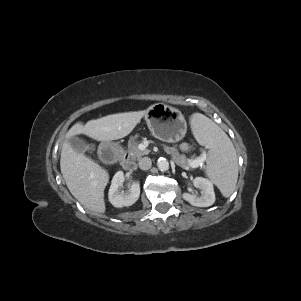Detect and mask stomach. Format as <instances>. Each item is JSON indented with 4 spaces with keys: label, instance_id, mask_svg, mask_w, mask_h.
I'll use <instances>...</instances> for the list:
<instances>
[{
    "label": "stomach",
    "instance_id": "obj_1",
    "mask_svg": "<svg viewBox=\"0 0 301 301\" xmlns=\"http://www.w3.org/2000/svg\"><path fill=\"white\" fill-rule=\"evenodd\" d=\"M145 120L152 135L165 142H178L184 138L187 131L183 114L163 103L149 107Z\"/></svg>",
    "mask_w": 301,
    "mask_h": 301
}]
</instances>
